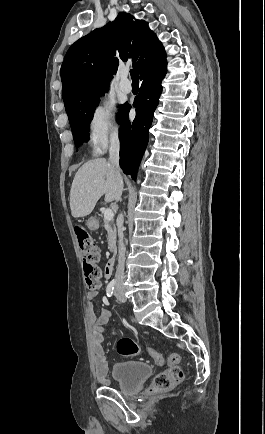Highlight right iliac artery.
<instances>
[{
	"instance_id": "1",
	"label": "right iliac artery",
	"mask_w": 265,
	"mask_h": 434,
	"mask_svg": "<svg viewBox=\"0 0 265 434\" xmlns=\"http://www.w3.org/2000/svg\"><path fill=\"white\" fill-rule=\"evenodd\" d=\"M115 282H113V281H111L109 284H108V286H107V288H106V293H107V296L108 297H111L112 295H113V293H114V288H115Z\"/></svg>"
}]
</instances>
